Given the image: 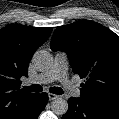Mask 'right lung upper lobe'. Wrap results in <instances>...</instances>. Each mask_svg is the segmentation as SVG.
<instances>
[{"label":"right lung upper lobe","instance_id":"1","mask_svg":"<svg viewBox=\"0 0 119 119\" xmlns=\"http://www.w3.org/2000/svg\"><path fill=\"white\" fill-rule=\"evenodd\" d=\"M50 27L11 24L0 29V119H22L38 94L20 89L29 62L50 36Z\"/></svg>","mask_w":119,"mask_h":119}]
</instances>
